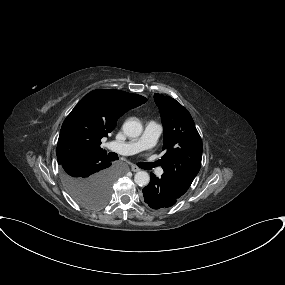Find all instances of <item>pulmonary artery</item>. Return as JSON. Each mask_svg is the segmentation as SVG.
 <instances>
[{"label": "pulmonary artery", "mask_w": 285, "mask_h": 285, "mask_svg": "<svg viewBox=\"0 0 285 285\" xmlns=\"http://www.w3.org/2000/svg\"><path fill=\"white\" fill-rule=\"evenodd\" d=\"M161 133L162 126L156 121H149L146 123L144 133L140 138L125 142L109 141L106 146L121 155H131L152 147ZM156 173L161 175L163 170L159 168Z\"/></svg>", "instance_id": "obj_1"}]
</instances>
